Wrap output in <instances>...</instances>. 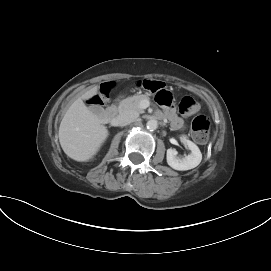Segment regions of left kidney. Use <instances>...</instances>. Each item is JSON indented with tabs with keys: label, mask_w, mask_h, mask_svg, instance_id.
Here are the masks:
<instances>
[{
	"label": "left kidney",
	"mask_w": 271,
	"mask_h": 271,
	"mask_svg": "<svg viewBox=\"0 0 271 271\" xmlns=\"http://www.w3.org/2000/svg\"><path fill=\"white\" fill-rule=\"evenodd\" d=\"M180 140L191 150V153L183 158H179L177 156L178 152L170 148L167 150V163L170 167L179 171L193 169L198 166L202 160L201 151L195 143L188 140L185 136H181Z\"/></svg>",
	"instance_id": "obj_1"
}]
</instances>
